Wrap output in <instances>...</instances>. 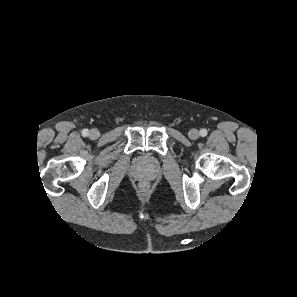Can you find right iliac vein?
<instances>
[{
  "label": "right iliac vein",
  "instance_id": "63e3f726",
  "mask_svg": "<svg viewBox=\"0 0 297 297\" xmlns=\"http://www.w3.org/2000/svg\"><path fill=\"white\" fill-rule=\"evenodd\" d=\"M100 136V132H99V130H97V129H91L90 130V132H89V137L91 138V139H97L98 137Z\"/></svg>",
  "mask_w": 297,
  "mask_h": 297
}]
</instances>
